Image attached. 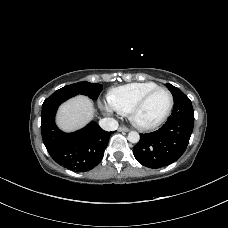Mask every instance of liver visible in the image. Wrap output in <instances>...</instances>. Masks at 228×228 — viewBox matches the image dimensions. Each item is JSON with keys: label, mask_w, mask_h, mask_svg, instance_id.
<instances>
[{"label": "liver", "mask_w": 228, "mask_h": 228, "mask_svg": "<svg viewBox=\"0 0 228 228\" xmlns=\"http://www.w3.org/2000/svg\"><path fill=\"white\" fill-rule=\"evenodd\" d=\"M93 116L92 101L79 95L61 105L57 114V124L63 131L71 132L85 126Z\"/></svg>", "instance_id": "liver-1"}]
</instances>
